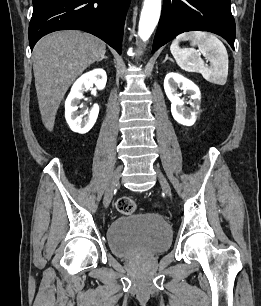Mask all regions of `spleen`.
<instances>
[{
    "mask_svg": "<svg viewBox=\"0 0 261 306\" xmlns=\"http://www.w3.org/2000/svg\"><path fill=\"white\" fill-rule=\"evenodd\" d=\"M181 41H190L192 47L181 49ZM194 46H197L198 50L194 49ZM170 50L181 69L201 73L207 81L225 85L228 76V54L215 35L204 31L184 32L172 42ZM201 54L210 62V67L205 66Z\"/></svg>",
    "mask_w": 261,
    "mask_h": 306,
    "instance_id": "obj_1",
    "label": "spleen"
}]
</instances>
